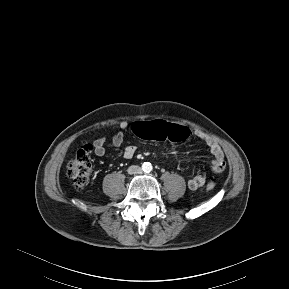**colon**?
<instances>
[{
	"label": "colon",
	"instance_id": "obj_1",
	"mask_svg": "<svg viewBox=\"0 0 289 289\" xmlns=\"http://www.w3.org/2000/svg\"><path fill=\"white\" fill-rule=\"evenodd\" d=\"M133 132L138 137L170 141H182L189 136L187 128L162 119L138 120L133 125ZM91 152L92 146L85 145L77 151L75 158L68 162L67 175L77 190H82L89 182ZM215 187L216 183L212 180L206 184L207 190H213Z\"/></svg>",
	"mask_w": 289,
	"mask_h": 289
}]
</instances>
